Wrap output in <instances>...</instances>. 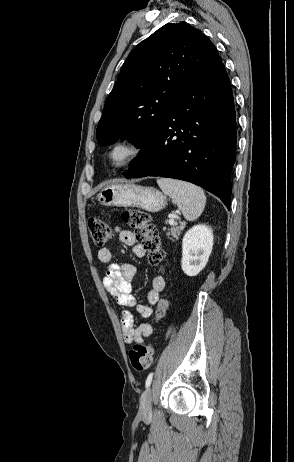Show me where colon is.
<instances>
[{
    "mask_svg": "<svg viewBox=\"0 0 294 462\" xmlns=\"http://www.w3.org/2000/svg\"><path fill=\"white\" fill-rule=\"evenodd\" d=\"M123 221L129 225L135 235L138 245L147 253L149 262L153 265H162L164 251L161 247L160 238L155 225L149 214L140 210H128L122 215ZM91 239L96 246L102 247L111 238V227L104 219L92 217L88 221ZM168 301L161 300L157 309L156 319L165 316ZM154 348L152 345L137 343L129 351V359L133 368L137 371L148 369L153 361Z\"/></svg>",
    "mask_w": 294,
    "mask_h": 462,
    "instance_id": "obj_1",
    "label": "colon"
}]
</instances>
